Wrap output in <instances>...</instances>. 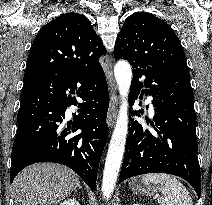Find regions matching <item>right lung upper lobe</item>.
Instances as JSON below:
<instances>
[{
    "instance_id": "cb5924a9",
    "label": "right lung upper lobe",
    "mask_w": 212,
    "mask_h": 205,
    "mask_svg": "<svg viewBox=\"0 0 212 205\" xmlns=\"http://www.w3.org/2000/svg\"><path fill=\"white\" fill-rule=\"evenodd\" d=\"M102 40L81 14L67 13L46 24L31 47L23 82L47 75L94 71L105 55Z\"/></svg>"
}]
</instances>
